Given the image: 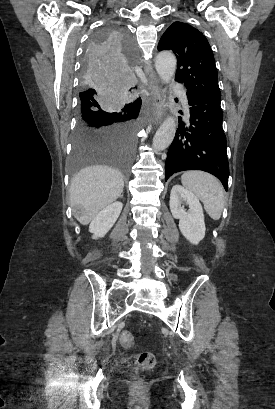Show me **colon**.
<instances>
[{"instance_id": "5ec220e1", "label": "colon", "mask_w": 275, "mask_h": 409, "mask_svg": "<svg viewBox=\"0 0 275 409\" xmlns=\"http://www.w3.org/2000/svg\"><path fill=\"white\" fill-rule=\"evenodd\" d=\"M119 344L125 349H131L135 345V337L129 330L119 334ZM135 365L141 372L149 371L155 364V358L150 352H140L135 356Z\"/></svg>"}]
</instances>
